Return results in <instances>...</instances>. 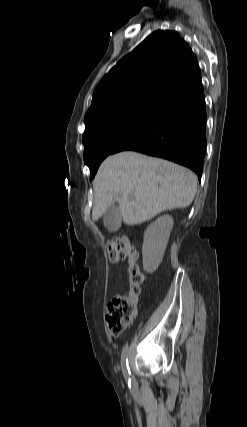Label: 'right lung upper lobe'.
<instances>
[{
  "instance_id": "obj_1",
  "label": "right lung upper lobe",
  "mask_w": 247,
  "mask_h": 427,
  "mask_svg": "<svg viewBox=\"0 0 247 427\" xmlns=\"http://www.w3.org/2000/svg\"><path fill=\"white\" fill-rule=\"evenodd\" d=\"M201 78L196 56L175 31L158 30L107 73L93 93L86 127L135 106H159L177 90Z\"/></svg>"
}]
</instances>
